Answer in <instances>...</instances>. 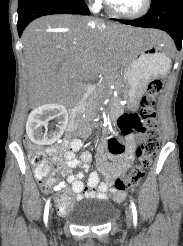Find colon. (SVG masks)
<instances>
[{
  "mask_svg": "<svg viewBox=\"0 0 183 246\" xmlns=\"http://www.w3.org/2000/svg\"><path fill=\"white\" fill-rule=\"evenodd\" d=\"M162 89L160 79L152 80L147 91L141 99V108L139 114H122L117 120L119 130L118 136H127L133 133H141L144 140L137 148L138 163L126 176L117 177L114 180V188L117 192L123 193L128 188L134 187L146 174L152 158L155 156L160 145V132L157 123V101ZM27 151L30 161L35 166L37 178L48 185L52 176L50 175L49 165L43 150L35 148L28 142ZM110 155H124L126 152L125 143H121L116 137L108 139ZM123 195L120 196L122 199ZM69 206L68 201H63L61 197L58 200L59 212H64Z\"/></svg>",
  "mask_w": 183,
  "mask_h": 246,
  "instance_id": "5ec220e1",
  "label": "colon"
}]
</instances>
